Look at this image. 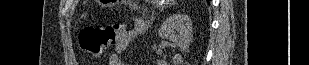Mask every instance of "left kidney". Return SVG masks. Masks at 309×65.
Wrapping results in <instances>:
<instances>
[{"instance_id": "5707ae66", "label": "left kidney", "mask_w": 309, "mask_h": 65, "mask_svg": "<svg viewBox=\"0 0 309 65\" xmlns=\"http://www.w3.org/2000/svg\"><path fill=\"white\" fill-rule=\"evenodd\" d=\"M162 39H169L180 47L181 51L189 48L192 42V21L188 15L176 14L168 17L160 26L158 31ZM182 62V56L176 54L172 57V63L178 65ZM159 64L166 65L165 61H159Z\"/></svg>"}]
</instances>
